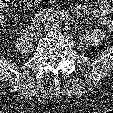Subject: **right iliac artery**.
Instances as JSON below:
<instances>
[{
  "label": "right iliac artery",
  "instance_id": "82829eb1",
  "mask_svg": "<svg viewBox=\"0 0 113 113\" xmlns=\"http://www.w3.org/2000/svg\"><path fill=\"white\" fill-rule=\"evenodd\" d=\"M65 15L66 13L64 11H55L52 9H48L47 11L42 10L32 20V23L29 28L33 31L34 29L39 27L41 23H43L45 20H47L51 16L63 19Z\"/></svg>",
  "mask_w": 113,
  "mask_h": 113
}]
</instances>
